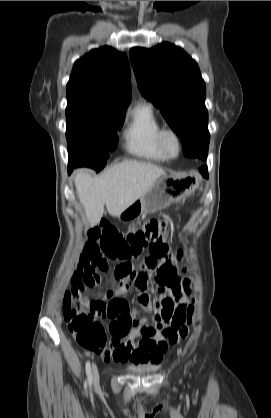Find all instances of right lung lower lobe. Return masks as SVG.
<instances>
[{"instance_id":"98d812e1","label":"right lung lower lobe","mask_w":271,"mask_h":418,"mask_svg":"<svg viewBox=\"0 0 271 418\" xmlns=\"http://www.w3.org/2000/svg\"><path fill=\"white\" fill-rule=\"evenodd\" d=\"M73 169H74V167H73V166H71V165H69V168H68L69 173H70Z\"/></svg>"}]
</instances>
